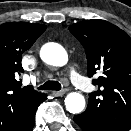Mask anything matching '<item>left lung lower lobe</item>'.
I'll return each mask as SVG.
<instances>
[{"instance_id":"1","label":"left lung lower lobe","mask_w":131,"mask_h":131,"mask_svg":"<svg viewBox=\"0 0 131 131\" xmlns=\"http://www.w3.org/2000/svg\"><path fill=\"white\" fill-rule=\"evenodd\" d=\"M74 122L83 131H109L103 125L95 121L89 114L83 112L79 115L74 116Z\"/></svg>"}]
</instances>
